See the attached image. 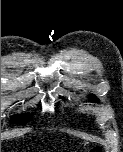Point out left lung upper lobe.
Masks as SVG:
<instances>
[{"label": "left lung upper lobe", "instance_id": "5c2ea615", "mask_svg": "<svg viewBox=\"0 0 123 152\" xmlns=\"http://www.w3.org/2000/svg\"><path fill=\"white\" fill-rule=\"evenodd\" d=\"M90 100L93 101V102H96V98L94 96L90 97Z\"/></svg>", "mask_w": 123, "mask_h": 152}]
</instances>
